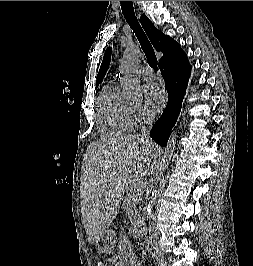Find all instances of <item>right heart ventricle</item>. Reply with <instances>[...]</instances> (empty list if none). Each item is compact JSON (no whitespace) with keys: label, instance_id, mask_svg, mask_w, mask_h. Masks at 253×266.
<instances>
[{"label":"right heart ventricle","instance_id":"1","mask_svg":"<svg viewBox=\"0 0 253 266\" xmlns=\"http://www.w3.org/2000/svg\"><path fill=\"white\" fill-rule=\"evenodd\" d=\"M97 123L105 136H120L135 126L130 104L124 100L114 84L107 85L98 100Z\"/></svg>","mask_w":253,"mask_h":266}]
</instances>
